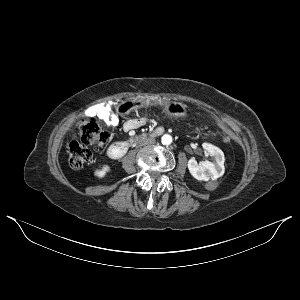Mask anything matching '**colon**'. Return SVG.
Instances as JSON below:
<instances>
[{
    "mask_svg": "<svg viewBox=\"0 0 300 300\" xmlns=\"http://www.w3.org/2000/svg\"><path fill=\"white\" fill-rule=\"evenodd\" d=\"M109 139V134L102 130L95 120L85 121L80 125V139H73L68 144L69 164L74 169L83 167L92 159L90 146L102 147Z\"/></svg>",
    "mask_w": 300,
    "mask_h": 300,
    "instance_id": "5ec220e1",
    "label": "colon"
}]
</instances>
